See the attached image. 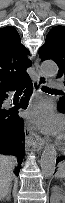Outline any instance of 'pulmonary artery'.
<instances>
[{"label":"pulmonary artery","instance_id":"1","mask_svg":"<svg viewBox=\"0 0 65 203\" xmlns=\"http://www.w3.org/2000/svg\"><path fill=\"white\" fill-rule=\"evenodd\" d=\"M51 87L54 88V89H58V88H61L62 87V84L57 82V81H54L52 84H51Z\"/></svg>","mask_w":65,"mask_h":203}]
</instances>
